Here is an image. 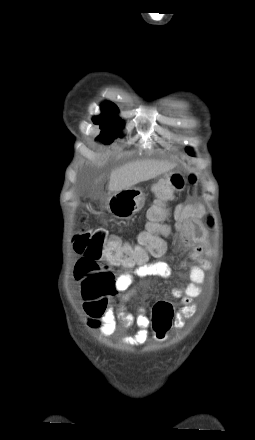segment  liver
Masks as SVG:
<instances>
[{"label":"liver","instance_id":"1","mask_svg":"<svg viewBox=\"0 0 255 440\" xmlns=\"http://www.w3.org/2000/svg\"><path fill=\"white\" fill-rule=\"evenodd\" d=\"M173 167L174 165L168 162L156 160L127 163L111 173L108 190L112 193L131 188L140 182L153 179Z\"/></svg>","mask_w":255,"mask_h":440}]
</instances>
